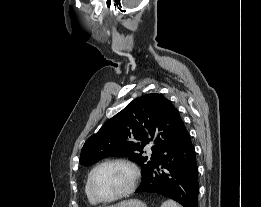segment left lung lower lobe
Segmentation results:
<instances>
[{
  "label": "left lung lower lobe",
  "instance_id": "0a47b994",
  "mask_svg": "<svg viewBox=\"0 0 261 207\" xmlns=\"http://www.w3.org/2000/svg\"><path fill=\"white\" fill-rule=\"evenodd\" d=\"M135 193L160 194L177 201L183 207H197L198 166L195 148L185 125L172 149L142 179Z\"/></svg>",
  "mask_w": 261,
  "mask_h": 207
}]
</instances>
